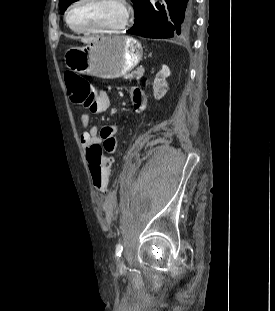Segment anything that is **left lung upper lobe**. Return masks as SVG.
Returning <instances> with one entry per match:
<instances>
[{"label": "left lung upper lobe", "instance_id": "1", "mask_svg": "<svg viewBox=\"0 0 275 311\" xmlns=\"http://www.w3.org/2000/svg\"><path fill=\"white\" fill-rule=\"evenodd\" d=\"M75 1L77 0H59V8L61 10V13L63 14V12L68 8V6ZM131 1L134 3V12L136 16L145 0H131Z\"/></svg>", "mask_w": 275, "mask_h": 311}]
</instances>
